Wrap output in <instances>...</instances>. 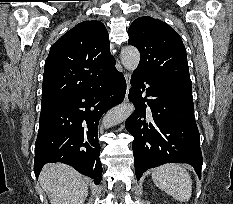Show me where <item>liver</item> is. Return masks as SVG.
<instances>
[{"instance_id": "1", "label": "liver", "mask_w": 233, "mask_h": 204, "mask_svg": "<svg viewBox=\"0 0 233 204\" xmlns=\"http://www.w3.org/2000/svg\"><path fill=\"white\" fill-rule=\"evenodd\" d=\"M39 182L51 204H84L88 196L85 178L66 164L45 165Z\"/></svg>"}]
</instances>
